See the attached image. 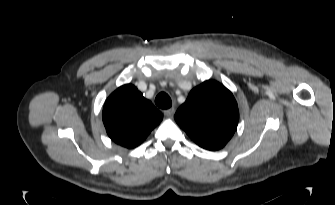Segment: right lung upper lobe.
Instances as JSON below:
<instances>
[{
	"mask_svg": "<svg viewBox=\"0 0 335 205\" xmlns=\"http://www.w3.org/2000/svg\"><path fill=\"white\" fill-rule=\"evenodd\" d=\"M107 134L117 144L134 148L163 119L162 113L131 84L114 91L103 107Z\"/></svg>",
	"mask_w": 335,
	"mask_h": 205,
	"instance_id": "obj_1",
	"label": "right lung upper lobe"
}]
</instances>
